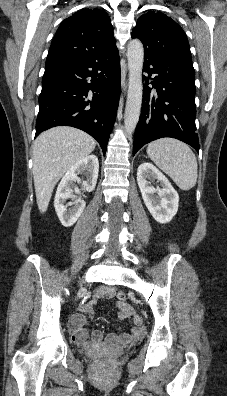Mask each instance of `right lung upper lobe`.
Segmentation results:
<instances>
[{
    "label": "right lung upper lobe",
    "instance_id": "1",
    "mask_svg": "<svg viewBox=\"0 0 227 396\" xmlns=\"http://www.w3.org/2000/svg\"><path fill=\"white\" fill-rule=\"evenodd\" d=\"M114 48L116 40L108 14L101 9H83L61 22L45 68L87 59Z\"/></svg>",
    "mask_w": 227,
    "mask_h": 396
}]
</instances>
